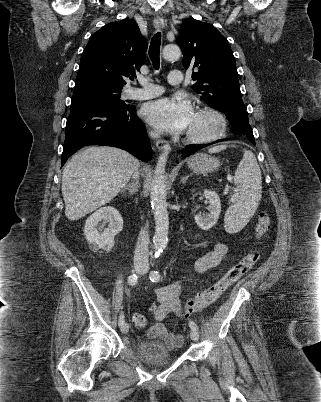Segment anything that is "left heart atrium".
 I'll return each instance as SVG.
<instances>
[{
  "mask_svg": "<svg viewBox=\"0 0 321 402\" xmlns=\"http://www.w3.org/2000/svg\"><path fill=\"white\" fill-rule=\"evenodd\" d=\"M193 115L190 102L181 98H162L143 108L144 118L154 128L171 133L187 130Z\"/></svg>",
  "mask_w": 321,
  "mask_h": 402,
  "instance_id": "left-heart-atrium-1",
  "label": "left heart atrium"
}]
</instances>
